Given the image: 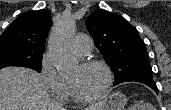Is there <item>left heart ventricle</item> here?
<instances>
[{"instance_id": "1", "label": "left heart ventricle", "mask_w": 171, "mask_h": 110, "mask_svg": "<svg viewBox=\"0 0 171 110\" xmlns=\"http://www.w3.org/2000/svg\"><path fill=\"white\" fill-rule=\"evenodd\" d=\"M75 91L82 97L95 96L102 91L106 83L105 72L100 67L83 69L78 66L68 76Z\"/></svg>"}]
</instances>
